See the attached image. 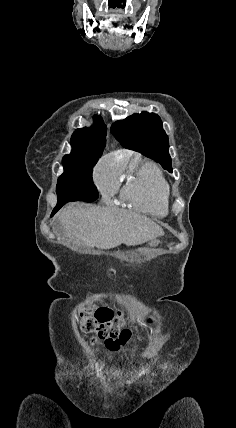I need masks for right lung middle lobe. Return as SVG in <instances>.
<instances>
[{"instance_id":"1","label":"right lung middle lobe","mask_w":236,"mask_h":428,"mask_svg":"<svg viewBox=\"0 0 236 428\" xmlns=\"http://www.w3.org/2000/svg\"><path fill=\"white\" fill-rule=\"evenodd\" d=\"M93 166H63L64 172L59 176L56 187L58 201L54 210L71 201L93 202L98 198L92 179Z\"/></svg>"}]
</instances>
